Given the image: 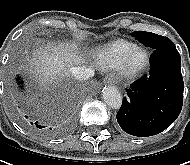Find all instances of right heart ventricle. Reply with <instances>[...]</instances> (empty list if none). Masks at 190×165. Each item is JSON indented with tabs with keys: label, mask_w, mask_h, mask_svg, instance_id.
I'll use <instances>...</instances> for the list:
<instances>
[{
	"label": "right heart ventricle",
	"mask_w": 190,
	"mask_h": 165,
	"mask_svg": "<svg viewBox=\"0 0 190 165\" xmlns=\"http://www.w3.org/2000/svg\"><path fill=\"white\" fill-rule=\"evenodd\" d=\"M137 47L133 42L117 39L100 47L95 53V61L103 70L118 69L125 57Z\"/></svg>",
	"instance_id": "1"
}]
</instances>
